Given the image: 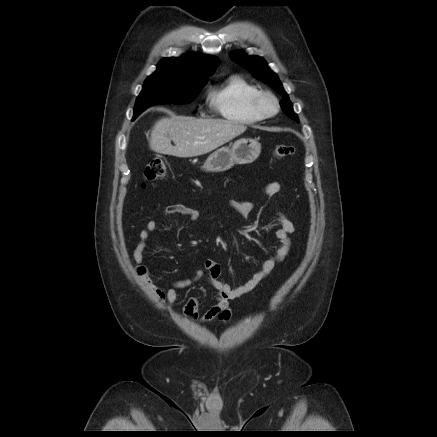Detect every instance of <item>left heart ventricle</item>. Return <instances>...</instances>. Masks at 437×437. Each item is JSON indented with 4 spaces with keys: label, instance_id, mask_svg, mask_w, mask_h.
I'll use <instances>...</instances> for the list:
<instances>
[{
    "label": "left heart ventricle",
    "instance_id": "obj_1",
    "mask_svg": "<svg viewBox=\"0 0 437 437\" xmlns=\"http://www.w3.org/2000/svg\"><path fill=\"white\" fill-rule=\"evenodd\" d=\"M264 105H265V107H266V109H267L268 111H273V109H274V104L272 103V101H270V100H266L265 103H264Z\"/></svg>",
    "mask_w": 437,
    "mask_h": 437
}]
</instances>
